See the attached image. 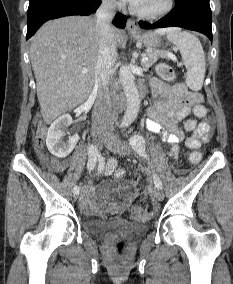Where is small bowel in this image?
I'll return each mask as SVG.
<instances>
[{
  "label": "small bowel",
  "mask_w": 233,
  "mask_h": 284,
  "mask_svg": "<svg viewBox=\"0 0 233 284\" xmlns=\"http://www.w3.org/2000/svg\"><path fill=\"white\" fill-rule=\"evenodd\" d=\"M153 91L161 97L149 110L146 126L151 132L163 137L171 145L170 155L176 157L179 144L184 140V131L179 123L190 113L192 107L201 105V94L189 91L183 84L167 85L159 80H152ZM211 130L209 119L203 120L192 130V135L187 138L186 145L190 149H197L207 142ZM188 131V130H187ZM49 167L57 172L66 168V162L55 158L46 160ZM84 208L91 207V201L85 197L82 201Z\"/></svg>",
  "instance_id": "c3829d8e"
}]
</instances>
